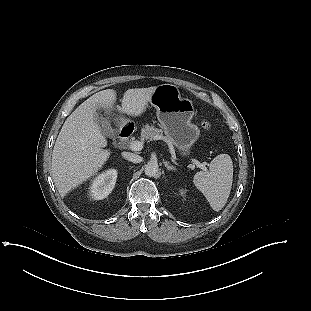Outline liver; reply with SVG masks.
<instances>
[{
	"label": "liver",
	"instance_id": "liver-1",
	"mask_svg": "<svg viewBox=\"0 0 311 311\" xmlns=\"http://www.w3.org/2000/svg\"><path fill=\"white\" fill-rule=\"evenodd\" d=\"M157 87L128 89L122 99L120 113L139 116L145 112ZM116 91L106 89L95 93L80 104L65 120L56 139L51 175L61 196L95 175L110 156L103 149L107 140L96 121V110L111 113L116 101Z\"/></svg>",
	"mask_w": 311,
	"mask_h": 311
}]
</instances>
